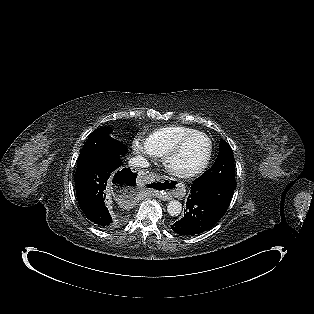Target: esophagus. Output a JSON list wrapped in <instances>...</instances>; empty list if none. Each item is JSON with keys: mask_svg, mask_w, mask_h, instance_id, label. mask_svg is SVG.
<instances>
[{"mask_svg": "<svg viewBox=\"0 0 314 314\" xmlns=\"http://www.w3.org/2000/svg\"><path fill=\"white\" fill-rule=\"evenodd\" d=\"M170 186L164 187L165 193H160V198L162 200H170L172 197L182 198L185 195L184 185L177 181L176 179H168ZM175 185V188H171L172 184ZM159 194V193H156Z\"/></svg>", "mask_w": 314, "mask_h": 314, "instance_id": "1", "label": "esophagus"}]
</instances>
